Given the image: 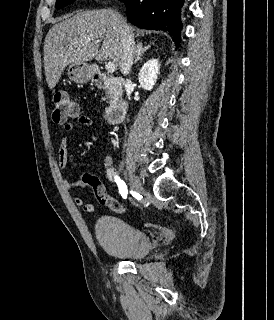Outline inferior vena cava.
I'll use <instances>...</instances> for the list:
<instances>
[{
    "mask_svg": "<svg viewBox=\"0 0 274 320\" xmlns=\"http://www.w3.org/2000/svg\"><path fill=\"white\" fill-rule=\"evenodd\" d=\"M118 14V12H115ZM120 38L123 44V58L121 72L124 76H128L133 66V58L135 52V42L133 30L126 22H119Z\"/></svg>",
    "mask_w": 274,
    "mask_h": 320,
    "instance_id": "obj_1",
    "label": "inferior vena cava"
}]
</instances>
